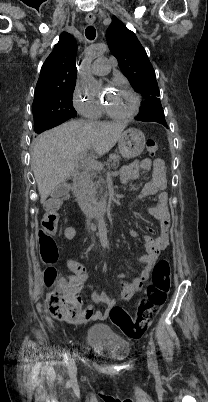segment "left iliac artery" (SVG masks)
<instances>
[{
  "instance_id": "obj_1",
  "label": "left iliac artery",
  "mask_w": 208,
  "mask_h": 402,
  "mask_svg": "<svg viewBox=\"0 0 208 402\" xmlns=\"http://www.w3.org/2000/svg\"><path fill=\"white\" fill-rule=\"evenodd\" d=\"M149 345L151 347V353L155 357L156 356L155 344H154V341H153V338H152L151 334H150Z\"/></svg>"
}]
</instances>
